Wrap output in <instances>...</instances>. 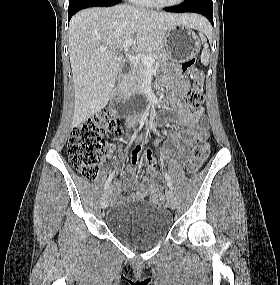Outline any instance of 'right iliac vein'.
Listing matches in <instances>:
<instances>
[{
	"label": "right iliac vein",
	"mask_w": 280,
	"mask_h": 285,
	"mask_svg": "<svg viewBox=\"0 0 280 285\" xmlns=\"http://www.w3.org/2000/svg\"><path fill=\"white\" fill-rule=\"evenodd\" d=\"M111 198V187H109L104 194L102 195V199H101V206L103 209L108 207L109 201Z\"/></svg>",
	"instance_id": "63e3f726"
}]
</instances>
